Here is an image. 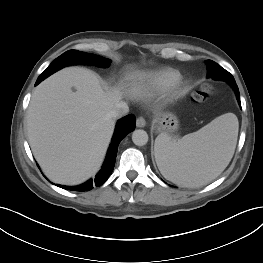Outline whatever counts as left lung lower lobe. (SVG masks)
Returning a JSON list of instances; mask_svg holds the SVG:
<instances>
[{"mask_svg":"<svg viewBox=\"0 0 263 263\" xmlns=\"http://www.w3.org/2000/svg\"><path fill=\"white\" fill-rule=\"evenodd\" d=\"M220 67V65H218L217 63L211 61V60H208L207 61V68H208V74L207 76H210L211 78L212 77H215L216 76V69H218ZM234 89L235 91V94H236V97H237V100H238V103L241 105V102H240V94H239V90H238V87H237V84L235 81H231V82H228Z\"/></svg>","mask_w":263,"mask_h":263,"instance_id":"obj_1","label":"left lung lower lobe"}]
</instances>
